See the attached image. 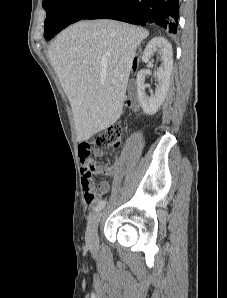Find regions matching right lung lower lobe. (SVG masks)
I'll list each match as a JSON object with an SVG mask.
<instances>
[{"mask_svg": "<svg viewBox=\"0 0 227 298\" xmlns=\"http://www.w3.org/2000/svg\"><path fill=\"white\" fill-rule=\"evenodd\" d=\"M179 0H101L83 19L108 18L137 25L155 23L176 33Z\"/></svg>", "mask_w": 227, "mask_h": 298, "instance_id": "98d812e1", "label": "right lung lower lobe"}]
</instances>
